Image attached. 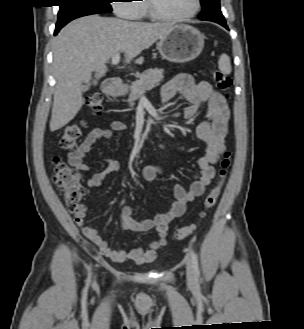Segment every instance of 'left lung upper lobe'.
Wrapping results in <instances>:
<instances>
[{
  "label": "left lung upper lobe",
  "mask_w": 304,
  "mask_h": 329,
  "mask_svg": "<svg viewBox=\"0 0 304 329\" xmlns=\"http://www.w3.org/2000/svg\"><path fill=\"white\" fill-rule=\"evenodd\" d=\"M212 1H214V0H200V2L202 4V9L206 6H208Z\"/></svg>",
  "instance_id": "5c2ea615"
}]
</instances>
